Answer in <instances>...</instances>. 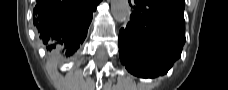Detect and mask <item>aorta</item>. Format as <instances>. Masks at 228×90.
I'll return each instance as SVG.
<instances>
[{
    "instance_id": "762f6f07",
    "label": "aorta",
    "mask_w": 228,
    "mask_h": 90,
    "mask_svg": "<svg viewBox=\"0 0 228 90\" xmlns=\"http://www.w3.org/2000/svg\"><path fill=\"white\" fill-rule=\"evenodd\" d=\"M111 12L117 22L127 21L131 13L128 0H111Z\"/></svg>"
}]
</instances>
